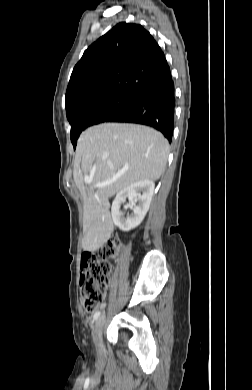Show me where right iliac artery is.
Returning a JSON list of instances; mask_svg holds the SVG:
<instances>
[{"instance_id":"obj_1","label":"right iliac artery","mask_w":252,"mask_h":390,"mask_svg":"<svg viewBox=\"0 0 252 390\" xmlns=\"http://www.w3.org/2000/svg\"><path fill=\"white\" fill-rule=\"evenodd\" d=\"M101 312L100 311H97L94 316H93V320H97L100 316Z\"/></svg>"}]
</instances>
